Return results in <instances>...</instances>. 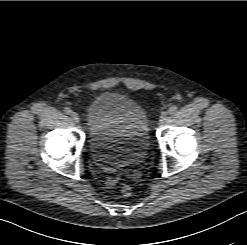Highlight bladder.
<instances>
[{"label":"bladder","instance_id":"obj_1","mask_svg":"<svg viewBox=\"0 0 247 245\" xmlns=\"http://www.w3.org/2000/svg\"><path fill=\"white\" fill-rule=\"evenodd\" d=\"M93 162L107 169L133 164L148 151L149 122L133 99L112 91L103 92L86 112Z\"/></svg>","mask_w":247,"mask_h":245}]
</instances>
